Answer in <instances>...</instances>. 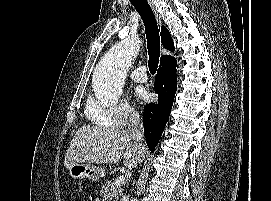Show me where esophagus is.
I'll use <instances>...</instances> for the list:
<instances>
[{
  "instance_id": "34e87169",
  "label": "esophagus",
  "mask_w": 271,
  "mask_h": 201,
  "mask_svg": "<svg viewBox=\"0 0 271 201\" xmlns=\"http://www.w3.org/2000/svg\"><path fill=\"white\" fill-rule=\"evenodd\" d=\"M148 2L150 3V6H151V8H152V10H153V12H154V14H155V17H156V20H157L158 24L161 25V19H160V16H159L158 13L156 12V10H155L153 4L151 3V0H148Z\"/></svg>"
}]
</instances>
